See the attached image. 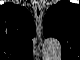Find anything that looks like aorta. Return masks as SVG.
Listing matches in <instances>:
<instances>
[{
    "label": "aorta",
    "mask_w": 80,
    "mask_h": 60,
    "mask_svg": "<svg viewBox=\"0 0 80 60\" xmlns=\"http://www.w3.org/2000/svg\"><path fill=\"white\" fill-rule=\"evenodd\" d=\"M44 49H46L49 52H54V53L60 54L61 45H60V42L57 39L48 38L44 42Z\"/></svg>",
    "instance_id": "obj_1"
}]
</instances>
